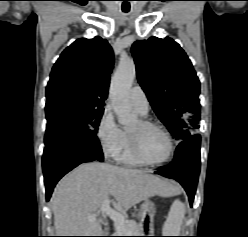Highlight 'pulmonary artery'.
Returning a JSON list of instances; mask_svg holds the SVG:
<instances>
[{"label": "pulmonary artery", "mask_w": 248, "mask_h": 237, "mask_svg": "<svg viewBox=\"0 0 248 237\" xmlns=\"http://www.w3.org/2000/svg\"><path fill=\"white\" fill-rule=\"evenodd\" d=\"M129 98L131 104L134 106L136 110H138L141 114H147L149 111V102L147 96L141 86H134L129 92Z\"/></svg>", "instance_id": "e3ab8cb5"}]
</instances>
